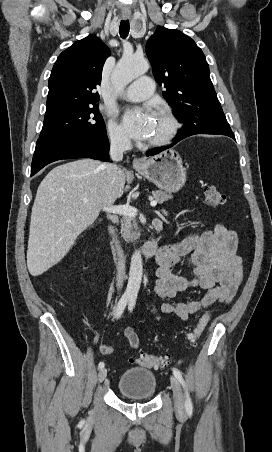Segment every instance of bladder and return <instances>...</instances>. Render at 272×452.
Returning a JSON list of instances; mask_svg holds the SVG:
<instances>
[{
  "label": "bladder",
  "mask_w": 272,
  "mask_h": 452,
  "mask_svg": "<svg viewBox=\"0 0 272 452\" xmlns=\"http://www.w3.org/2000/svg\"><path fill=\"white\" fill-rule=\"evenodd\" d=\"M116 387L127 398L149 399L156 394L158 381L151 370L133 367L121 374Z\"/></svg>",
  "instance_id": "obj_1"
}]
</instances>
